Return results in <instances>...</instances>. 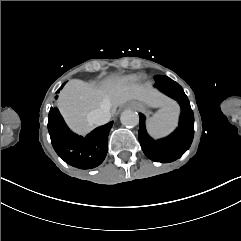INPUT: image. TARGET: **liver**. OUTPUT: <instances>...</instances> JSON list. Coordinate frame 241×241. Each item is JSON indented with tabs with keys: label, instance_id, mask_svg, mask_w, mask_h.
<instances>
[{
	"label": "liver",
	"instance_id": "liver-1",
	"mask_svg": "<svg viewBox=\"0 0 241 241\" xmlns=\"http://www.w3.org/2000/svg\"><path fill=\"white\" fill-rule=\"evenodd\" d=\"M138 100L153 108H169L177 111L174 101L153 89L151 85H128L124 78L111 75L100 86L71 79L60 91L57 107L68 126L79 135L85 136L93 125L89 124L87 114L104 105H109L114 114L118 106Z\"/></svg>",
	"mask_w": 241,
	"mask_h": 241
}]
</instances>
